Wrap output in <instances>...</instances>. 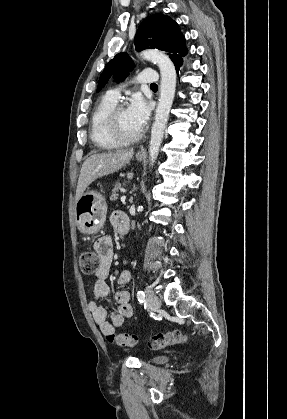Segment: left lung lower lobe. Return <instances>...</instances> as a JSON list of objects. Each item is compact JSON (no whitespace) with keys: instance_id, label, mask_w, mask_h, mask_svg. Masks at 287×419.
<instances>
[{"instance_id":"obj_1","label":"left lung lower lobe","mask_w":287,"mask_h":419,"mask_svg":"<svg viewBox=\"0 0 287 419\" xmlns=\"http://www.w3.org/2000/svg\"><path fill=\"white\" fill-rule=\"evenodd\" d=\"M179 69H180V68L176 69V70H177V72L179 71Z\"/></svg>"}]
</instances>
